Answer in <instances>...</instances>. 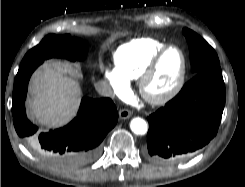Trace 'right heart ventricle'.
Returning <instances> with one entry per match:
<instances>
[{
  "label": "right heart ventricle",
  "instance_id": "1",
  "mask_svg": "<svg viewBox=\"0 0 245 187\" xmlns=\"http://www.w3.org/2000/svg\"><path fill=\"white\" fill-rule=\"evenodd\" d=\"M164 46V42L149 37L121 45L114 54L115 68L119 76L127 84L138 80Z\"/></svg>",
  "mask_w": 245,
  "mask_h": 187
}]
</instances>
